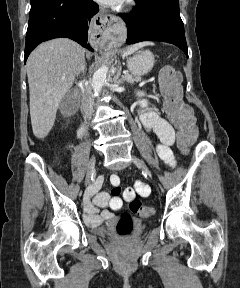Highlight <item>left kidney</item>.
<instances>
[{
  "label": "left kidney",
  "instance_id": "left-kidney-1",
  "mask_svg": "<svg viewBox=\"0 0 240 288\" xmlns=\"http://www.w3.org/2000/svg\"><path fill=\"white\" fill-rule=\"evenodd\" d=\"M143 95H144L143 92H141V91H138V92H137V96H138V97H141V96H143ZM138 104H139L142 108H146V107H147V101H146V100H140V101L138 102Z\"/></svg>",
  "mask_w": 240,
  "mask_h": 288
}]
</instances>
